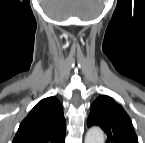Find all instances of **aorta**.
Instances as JSON below:
<instances>
[{
  "label": "aorta",
  "mask_w": 145,
  "mask_h": 143,
  "mask_svg": "<svg viewBox=\"0 0 145 143\" xmlns=\"http://www.w3.org/2000/svg\"><path fill=\"white\" fill-rule=\"evenodd\" d=\"M85 143H104V132L99 127H92L86 134Z\"/></svg>",
  "instance_id": "aorta-1"
}]
</instances>
